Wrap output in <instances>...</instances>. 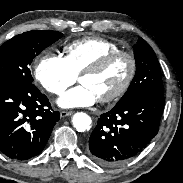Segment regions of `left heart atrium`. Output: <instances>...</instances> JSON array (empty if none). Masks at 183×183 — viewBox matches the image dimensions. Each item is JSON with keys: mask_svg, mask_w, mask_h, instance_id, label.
Wrapping results in <instances>:
<instances>
[{"mask_svg": "<svg viewBox=\"0 0 183 183\" xmlns=\"http://www.w3.org/2000/svg\"><path fill=\"white\" fill-rule=\"evenodd\" d=\"M98 100L95 93L87 86L80 85L66 92L58 101L63 108L86 107Z\"/></svg>", "mask_w": 183, "mask_h": 183, "instance_id": "39dd6f15", "label": "left heart atrium"}]
</instances>
